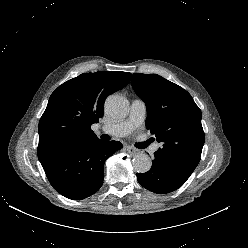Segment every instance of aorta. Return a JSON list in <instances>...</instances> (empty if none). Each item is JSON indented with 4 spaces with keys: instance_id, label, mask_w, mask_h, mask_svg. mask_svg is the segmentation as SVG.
Masks as SVG:
<instances>
[{
    "instance_id": "1",
    "label": "aorta",
    "mask_w": 248,
    "mask_h": 248,
    "mask_svg": "<svg viewBox=\"0 0 248 248\" xmlns=\"http://www.w3.org/2000/svg\"><path fill=\"white\" fill-rule=\"evenodd\" d=\"M105 109L113 118H124L129 111L128 100L120 95H111L105 101ZM133 168L138 173H146L151 168V160L146 154H137L133 161Z\"/></svg>"
}]
</instances>
